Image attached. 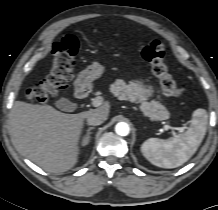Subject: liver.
Returning <instances> with one entry per match:
<instances>
[{
	"instance_id": "1",
	"label": "liver",
	"mask_w": 218,
	"mask_h": 210,
	"mask_svg": "<svg viewBox=\"0 0 218 210\" xmlns=\"http://www.w3.org/2000/svg\"><path fill=\"white\" fill-rule=\"evenodd\" d=\"M109 103L78 114H66L49 105L16 101L10 123L14 138L23 153L50 173H63L76 165L84 120L92 113L105 120Z\"/></svg>"
}]
</instances>
